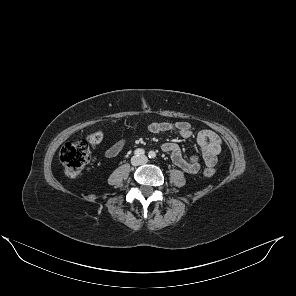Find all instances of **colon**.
Returning a JSON list of instances; mask_svg holds the SVG:
<instances>
[{"instance_id": "5ec220e1", "label": "colon", "mask_w": 296, "mask_h": 296, "mask_svg": "<svg viewBox=\"0 0 296 296\" xmlns=\"http://www.w3.org/2000/svg\"><path fill=\"white\" fill-rule=\"evenodd\" d=\"M103 139L102 132H96L87 137L86 140L65 144L60 150V161L66 175L76 177L82 173L90 158L89 144H98ZM216 173L213 166L204 169V175L211 177Z\"/></svg>"}]
</instances>
